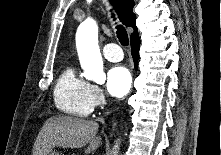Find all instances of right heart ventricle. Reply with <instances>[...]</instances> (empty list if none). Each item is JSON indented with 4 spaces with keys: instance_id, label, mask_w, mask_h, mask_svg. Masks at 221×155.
I'll return each mask as SVG.
<instances>
[{
    "instance_id": "right-heart-ventricle-1",
    "label": "right heart ventricle",
    "mask_w": 221,
    "mask_h": 155,
    "mask_svg": "<svg viewBox=\"0 0 221 155\" xmlns=\"http://www.w3.org/2000/svg\"><path fill=\"white\" fill-rule=\"evenodd\" d=\"M90 84L78 76L72 66L66 67L59 75L55 89L54 102L63 113L85 117L93 110L89 95Z\"/></svg>"
}]
</instances>
